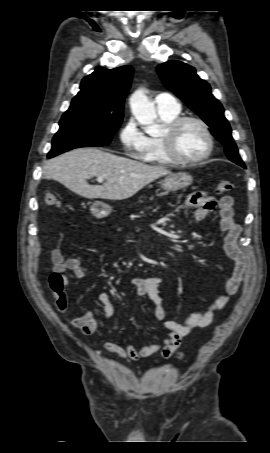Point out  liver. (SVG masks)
I'll use <instances>...</instances> for the list:
<instances>
[{
	"label": "liver",
	"mask_w": 270,
	"mask_h": 453,
	"mask_svg": "<svg viewBox=\"0 0 270 453\" xmlns=\"http://www.w3.org/2000/svg\"><path fill=\"white\" fill-rule=\"evenodd\" d=\"M48 178L72 192L88 198L123 200L130 198L147 184L171 174L163 166L119 157L96 148H79L51 159L44 167ZM103 177V185H89L88 178Z\"/></svg>",
	"instance_id": "1"
}]
</instances>
